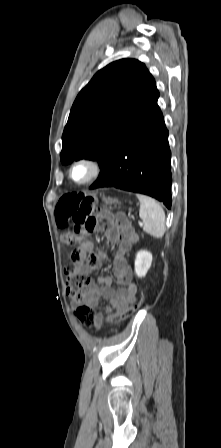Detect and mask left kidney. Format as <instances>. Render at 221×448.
I'll use <instances>...</instances> for the list:
<instances>
[{
    "instance_id": "1",
    "label": "left kidney",
    "mask_w": 221,
    "mask_h": 448,
    "mask_svg": "<svg viewBox=\"0 0 221 448\" xmlns=\"http://www.w3.org/2000/svg\"><path fill=\"white\" fill-rule=\"evenodd\" d=\"M152 254L147 250H140L136 254L135 273L138 277H144L152 264Z\"/></svg>"
}]
</instances>
